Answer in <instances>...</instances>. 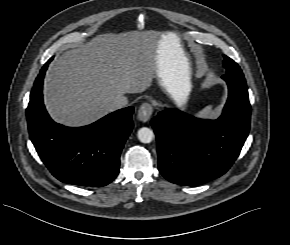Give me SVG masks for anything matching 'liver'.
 <instances>
[{"instance_id":"liver-1","label":"liver","mask_w":290,"mask_h":245,"mask_svg":"<svg viewBox=\"0 0 290 245\" xmlns=\"http://www.w3.org/2000/svg\"><path fill=\"white\" fill-rule=\"evenodd\" d=\"M159 72L175 101L190 91L189 61L175 33L159 40L136 31L98 35L52 64L44 102L55 121L86 125L114 111L117 98L145 91Z\"/></svg>"}]
</instances>
